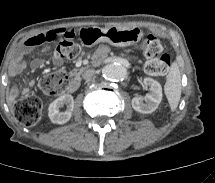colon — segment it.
Instances as JSON below:
<instances>
[{
  "label": "colon",
  "mask_w": 215,
  "mask_h": 183,
  "mask_svg": "<svg viewBox=\"0 0 215 183\" xmlns=\"http://www.w3.org/2000/svg\"><path fill=\"white\" fill-rule=\"evenodd\" d=\"M37 47L40 43H35ZM140 50L149 59L145 65V70L150 75L165 74L171 63V57L163 52L161 41L153 34L140 44ZM81 48L74 40L72 31L65 32L55 47V54L60 58L71 59L80 54ZM43 93L56 96L63 93L68 86V78L63 72H55L42 77L39 83ZM16 120L27 127L36 125L42 115V102L35 95H27L18 99L13 108Z\"/></svg>",
  "instance_id": "colon-1"
}]
</instances>
